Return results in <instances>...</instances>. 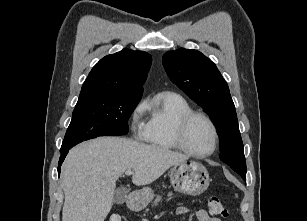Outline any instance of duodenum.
<instances>
[{
    "label": "duodenum",
    "instance_id": "duodenum-1",
    "mask_svg": "<svg viewBox=\"0 0 307 221\" xmlns=\"http://www.w3.org/2000/svg\"><path fill=\"white\" fill-rule=\"evenodd\" d=\"M140 197L138 195H135V194H132L129 198V206L132 208V209H139L140 207Z\"/></svg>",
    "mask_w": 307,
    "mask_h": 221
}]
</instances>
